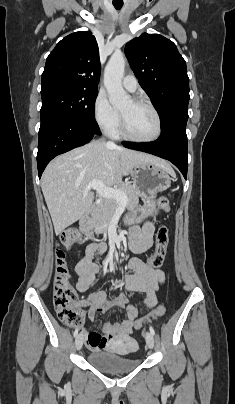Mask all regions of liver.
<instances>
[{"instance_id": "obj_1", "label": "liver", "mask_w": 235, "mask_h": 404, "mask_svg": "<svg viewBox=\"0 0 235 404\" xmlns=\"http://www.w3.org/2000/svg\"><path fill=\"white\" fill-rule=\"evenodd\" d=\"M143 162H154L173 173L165 160L105 142H90L50 162L42 175L41 188L56 235L91 208L94 193L88 187L90 181L113 186Z\"/></svg>"}]
</instances>
